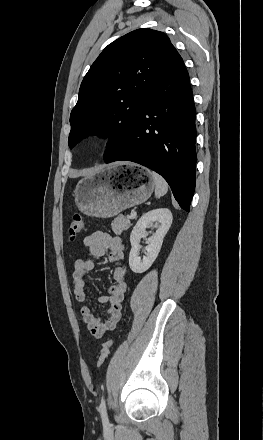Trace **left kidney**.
<instances>
[{"instance_id": "5707ae66", "label": "left kidney", "mask_w": 263, "mask_h": 440, "mask_svg": "<svg viewBox=\"0 0 263 440\" xmlns=\"http://www.w3.org/2000/svg\"><path fill=\"white\" fill-rule=\"evenodd\" d=\"M171 224L172 213L167 208L154 209L141 216L130 235L129 266L133 272L143 273L151 267L160 252L163 238ZM150 226L156 227V232L148 238L146 256L141 259L139 242L141 238L146 237V229Z\"/></svg>"}]
</instances>
